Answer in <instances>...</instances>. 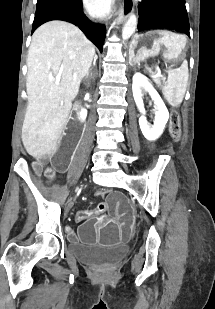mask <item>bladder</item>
<instances>
[{
	"label": "bladder",
	"instance_id": "bladder-1",
	"mask_svg": "<svg viewBox=\"0 0 215 309\" xmlns=\"http://www.w3.org/2000/svg\"><path fill=\"white\" fill-rule=\"evenodd\" d=\"M71 254L80 262L87 265H113L126 255V249L119 246H87L82 244H70Z\"/></svg>",
	"mask_w": 215,
	"mask_h": 309
}]
</instances>
